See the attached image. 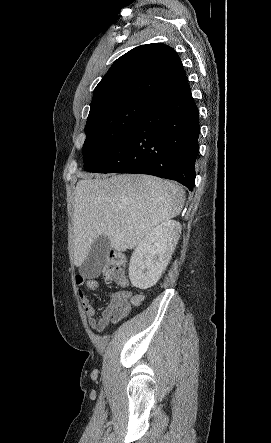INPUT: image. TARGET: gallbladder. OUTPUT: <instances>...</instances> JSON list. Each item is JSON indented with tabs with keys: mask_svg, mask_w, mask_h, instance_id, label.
I'll return each instance as SVG.
<instances>
[{
	"mask_svg": "<svg viewBox=\"0 0 271 443\" xmlns=\"http://www.w3.org/2000/svg\"><path fill=\"white\" fill-rule=\"evenodd\" d=\"M111 243L108 235H100L95 239L85 260L81 261L79 271L83 278H96L97 273H104L107 261L110 260Z\"/></svg>",
	"mask_w": 271,
	"mask_h": 443,
	"instance_id": "obj_1",
	"label": "gallbladder"
}]
</instances>
